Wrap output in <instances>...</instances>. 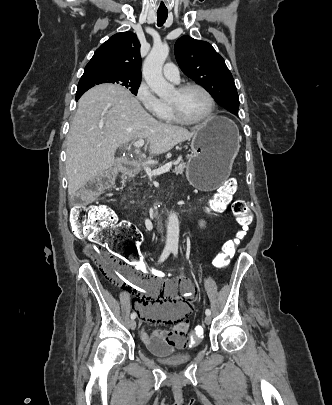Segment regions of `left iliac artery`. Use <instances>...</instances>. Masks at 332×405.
<instances>
[{
  "mask_svg": "<svg viewBox=\"0 0 332 405\" xmlns=\"http://www.w3.org/2000/svg\"><path fill=\"white\" fill-rule=\"evenodd\" d=\"M172 253H173L174 256H177V254H178V249H177V247H173V248H172ZM205 314H206L207 316H210V315H211V310H210V309H206V310H205Z\"/></svg>",
  "mask_w": 332,
  "mask_h": 405,
  "instance_id": "44dca946",
  "label": "left iliac artery"
}]
</instances>
